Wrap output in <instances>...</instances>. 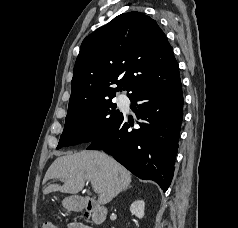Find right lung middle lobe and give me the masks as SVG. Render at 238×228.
<instances>
[{
  "mask_svg": "<svg viewBox=\"0 0 238 228\" xmlns=\"http://www.w3.org/2000/svg\"><path fill=\"white\" fill-rule=\"evenodd\" d=\"M115 108L116 104L108 100L68 111L57 149L91 142L107 132L123 118V114Z\"/></svg>",
  "mask_w": 238,
  "mask_h": 228,
  "instance_id": "dd1d6c3e",
  "label": "right lung middle lobe"
}]
</instances>
